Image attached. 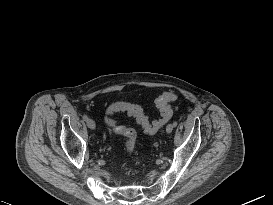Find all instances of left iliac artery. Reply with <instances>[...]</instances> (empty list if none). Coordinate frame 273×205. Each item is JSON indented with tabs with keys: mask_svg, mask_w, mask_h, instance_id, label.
Returning <instances> with one entry per match:
<instances>
[{
	"mask_svg": "<svg viewBox=\"0 0 273 205\" xmlns=\"http://www.w3.org/2000/svg\"><path fill=\"white\" fill-rule=\"evenodd\" d=\"M173 126L176 127V126H177V122H174V123H173Z\"/></svg>",
	"mask_w": 273,
	"mask_h": 205,
	"instance_id": "1",
	"label": "left iliac artery"
}]
</instances>
